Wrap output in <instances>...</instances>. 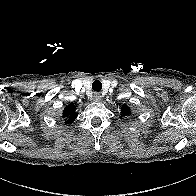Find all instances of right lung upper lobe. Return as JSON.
<instances>
[{"label": "right lung upper lobe", "mask_w": 196, "mask_h": 196, "mask_svg": "<svg viewBox=\"0 0 196 196\" xmlns=\"http://www.w3.org/2000/svg\"><path fill=\"white\" fill-rule=\"evenodd\" d=\"M63 117L66 118V123H72L76 119L77 113L74 104L65 107Z\"/></svg>", "instance_id": "right-lung-upper-lobe-1"}]
</instances>
